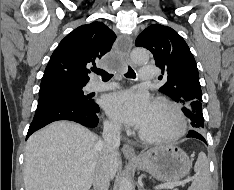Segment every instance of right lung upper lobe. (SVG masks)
I'll list each match as a JSON object with an SVG mask.
<instances>
[{
	"mask_svg": "<svg viewBox=\"0 0 234 190\" xmlns=\"http://www.w3.org/2000/svg\"><path fill=\"white\" fill-rule=\"evenodd\" d=\"M115 39V33L102 22L76 28L53 52L41 82L60 79L86 84L89 69L111 50Z\"/></svg>",
	"mask_w": 234,
	"mask_h": 190,
	"instance_id": "right-lung-upper-lobe-1",
	"label": "right lung upper lobe"
}]
</instances>
